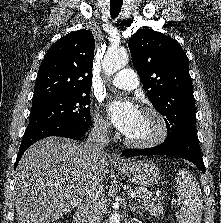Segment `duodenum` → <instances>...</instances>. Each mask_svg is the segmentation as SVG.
Here are the masks:
<instances>
[{"label": "duodenum", "mask_w": 221, "mask_h": 223, "mask_svg": "<svg viewBox=\"0 0 221 223\" xmlns=\"http://www.w3.org/2000/svg\"><path fill=\"white\" fill-rule=\"evenodd\" d=\"M86 208L80 205L75 212L73 223H85L86 222Z\"/></svg>", "instance_id": "obj_1"}]
</instances>
